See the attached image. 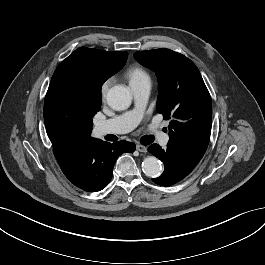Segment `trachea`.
<instances>
[{
	"label": "trachea",
	"instance_id": "3493384b",
	"mask_svg": "<svg viewBox=\"0 0 265 265\" xmlns=\"http://www.w3.org/2000/svg\"><path fill=\"white\" fill-rule=\"evenodd\" d=\"M154 141V138L153 136L151 135H146V136H143L140 140V142L143 144V145H149L151 144L152 142Z\"/></svg>",
	"mask_w": 265,
	"mask_h": 265
}]
</instances>
